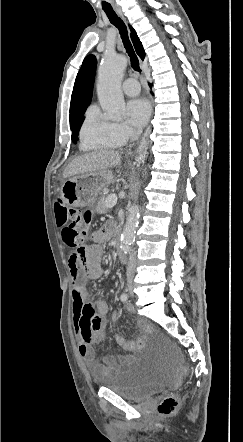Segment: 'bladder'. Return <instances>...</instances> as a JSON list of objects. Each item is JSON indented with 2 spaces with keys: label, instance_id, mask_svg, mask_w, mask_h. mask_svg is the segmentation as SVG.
Here are the masks:
<instances>
[{
  "label": "bladder",
  "instance_id": "obj_1",
  "mask_svg": "<svg viewBox=\"0 0 243 442\" xmlns=\"http://www.w3.org/2000/svg\"><path fill=\"white\" fill-rule=\"evenodd\" d=\"M163 383V377L153 367L152 360L131 356L120 362L98 385L124 399L140 401L158 393Z\"/></svg>",
  "mask_w": 243,
  "mask_h": 442
}]
</instances>
